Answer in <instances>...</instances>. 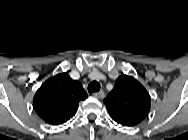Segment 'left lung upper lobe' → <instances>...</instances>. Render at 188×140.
<instances>
[{"label": "left lung upper lobe", "mask_w": 188, "mask_h": 140, "mask_svg": "<svg viewBox=\"0 0 188 140\" xmlns=\"http://www.w3.org/2000/svg\"><path fill=\"white\" fill-rule=\"evenodd\" d=\"M103 102L115 122L130 127L141 123L148 115L151 98L134 77L123 74Z\"/></svg>", "instance_id": "5c2ea615"}]
</instances>
